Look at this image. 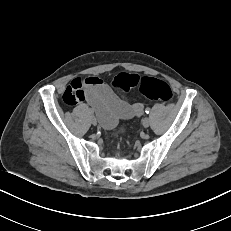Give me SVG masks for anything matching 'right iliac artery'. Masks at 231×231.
I'll list each match as a JSON object with an SVG mask.
<instances>
[{"label":"right iliac artery","mask_w":231,"mask_h":231,"mask_svg":"<svg viewBox=\"0 0 231 231\" xmlns=\"http://www.w3.org/2000/svg\"><path fill=\"white\" fill-rule=\"evenodd\" d=\"M89 112H90V114H93V113H94V111H93L92 109H90Z\"/></svg>","instance_id":"obj_1"}]
</instances>
